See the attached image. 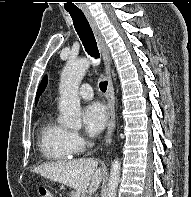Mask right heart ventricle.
<instances>
[{
    "label": "right heart ventricle",
    "instance_id": "right-heart-ventricle-1",
    "mask_svg": "<svg viewBox=\"0 0 191 197\" xmlns=\"http://www.w3.org/2000/svg\"><path fill=\"white\" fill-rule=\"evenodd\" d=\"M67 132L66 128L53 120L51 113L44 116L38 132V147L45 159L64 161L72 158Z\"/></svg>",
    "mask_w": 191,
    "mask_h": 197
}]
</instances>
